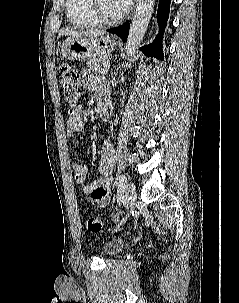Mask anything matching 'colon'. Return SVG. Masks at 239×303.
Listing matches in <instances>:
<instances>
[{"label": "colon", "instance_id": "obj_1", "mask_svg": "<svg viewBox=\"0 0 239 303\" xmlns=\"http://www.w3.org/2000/svg\"><path fill=\"white\" fill-rule=\"evenodd\" d=\"M60 83L66 101L71 105L77 103L84 91L77 70L69 64H63L60 68ZM86 226L93 233H98L102 229L100 219L95 216L87 217Z\"/></svg>", "mask_w": 239, "mask_h": 303}]
</instances>
